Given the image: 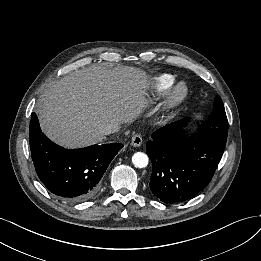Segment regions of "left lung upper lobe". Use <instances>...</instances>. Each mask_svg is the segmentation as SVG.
<instances>
[{
    "mask_svg": "<svg viewBox=\"0 0 261 261\" xmlns=\"http://www.w3.org/2000/svg\"><path fill=\"white\" fill-rule=\"evenodd\" d=\"M206 124L211 140L218 145L225 147L228 133V121L223 102L219 96L215 98L212 114L206 120Z\"/></svg>",
    "mask_w": 261,
    "mask_h": 261,
    "instance_id": "obj_1",
    "label": "left lung upper lobe"
}]
</instances>
